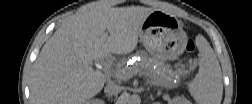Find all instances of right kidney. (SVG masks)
<instances>
[{"label":"right kidney","mask_w":252,"mask_h":104,"mask_svg":"<svg viewBox=\"0 0 252 104\" xmlns=\"http://www.w3.org/2000/svg\"><path fill=\"white\" fill-rule=\"evenodd\" d=\"M89 104H104V101L101 99H93L88 102Z\"/></svg>","instance_id":"1"}]
</instances>
